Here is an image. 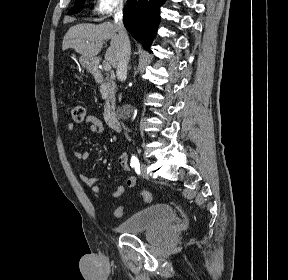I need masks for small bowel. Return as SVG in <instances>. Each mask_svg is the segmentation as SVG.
Listing matches in <instances>:
<instances>
[{
	"instance_id": "obj_1",
	"label": "small bowel",
	"mask_w": 288,
	"mask_h": 280,
	"mask_svg": "<svg viewBox=\"0 0 288 280\" xmlns=\"http://www.w3.org/2000/svg\"><path fill=\"white\" fill-rule=\"evenodd\" d=\"M85 124L90 128V130L94 133H101L104 130V125L102 121L95 115H88L85 119ZM69 131L74 130V124L69 123L68 125ZM76 159L80 161H86L90 157V153L87 151H75L73 153ZM118 162L123 171L129 172L130 171V164L128 155L126 152H120L117 156ZM80 179L83 183H85L88 187H90L92 194L94 195H101L103 194V190L100 187L99 183L102 181V177H90L86 174H81ZM137 180L134 176H128L125 179V184L129 188H134L136 186ZM125 192L124 185H118L113 192L109 194L111 198L117 199L121 197Z\"/></svg>"
}]
</instances>
